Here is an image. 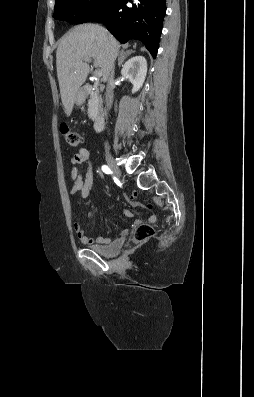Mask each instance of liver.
I'll return each mask as SVG.
<instances>
[{"label": "liver", "mask_w": 254, "mask_h": 397, "mask_svg": "<svg viewBox=\"0 0 254 397\" xmlns=\"http://www.w3.org/2000/svg\"><path fill=\"white\" fill-rule=\"evenodd\" d=\"M118 41L102 26L85 24L74 27L59 44L56 51V68L64 112L70 116L80 87L90 72L87 59L107 80L109 68L118 55Z\"/></svg>", "instance_id": "1"}]
</instances>
